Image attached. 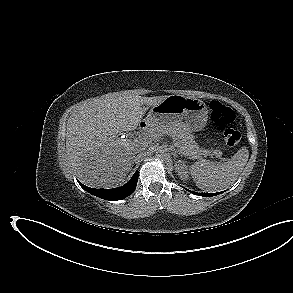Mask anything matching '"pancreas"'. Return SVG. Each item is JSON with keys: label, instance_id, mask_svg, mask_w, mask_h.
Instances as JSON below:
<instances>
[{"label": "pancreas", "instance_id": "1", "mask_svg": "<svg viewBox=\"0 0 293 293\" xmlns=\"http://www.w3.org/2000/svg\"><path fill=\"white\" fill-rule=\"evenodd\" d=\"M165 134L171 135L174 138L179 151L189 158L200 159L202 155H221L219 150L213 151L199 148L194 140V136L191 134V129L183 122H171L168 124L157 125L148 132L149 137L152 139H159Z\"/></svg>", "mask_w": 293, "mask_h": 293}]
</instances>
